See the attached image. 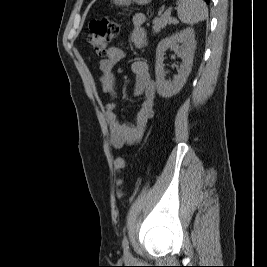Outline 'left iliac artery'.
<instances>
[{
    "instance_id": "44dca946",
    "label": "left iliac artery",
    "mask_w": 267,
    "mask_h": 267,
    "mask_svg": "<svg viewBox=\"0 0 267 267\" xmlns=\"http://www.w3.org/2000/svg\"><path fill=\"white\" fill-rule=\"evenodd\" d=\"M122 246L124 248V251H127L129 249V242L126 236L123 238Z\"/></svg>"
}]
</instances>
